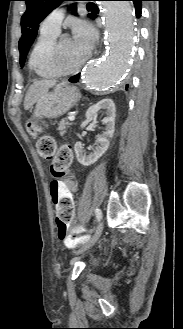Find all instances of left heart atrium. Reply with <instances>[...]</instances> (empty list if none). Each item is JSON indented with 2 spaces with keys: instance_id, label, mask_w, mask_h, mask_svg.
<instances>
[{
  "instance_id": "1",
  "label": "left heart atrium",
  "mask_w": 183,
  "mask_h": 329,
  "mask_svg": "<svg viewBox=\"0 0 183 329\" xmlns=\"http://www.w3.org/2000/svg\"><path fill=\"white\" fill-rule=\"evenodd\" d=\"M73 42L77 48L89 52L97 39L94 27L85 21H76L72 26Z\"/></svg>"
}]
</instances>
